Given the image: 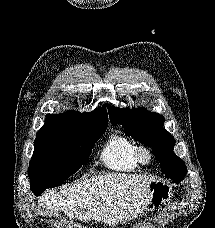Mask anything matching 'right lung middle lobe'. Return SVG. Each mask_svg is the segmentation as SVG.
<instances>
[{
  "label": "right lung middle lobe",
  "mask_w": 215,
  "mask_h": 228,
  "mask_svg": "<svg viewBox=\"0 0 215 228\" xmlns=\"http://www.w3.org/2000/svg\"><path fill=\"white\" fill-rule=\"evenodd\" d=\"M107 125L65 127L37 134L28 169L32 192L41 195L45 189L61 184L86 164Z\"/></svg>",
  "instance_id": "1"
}]
</instances>
